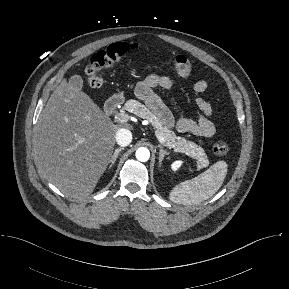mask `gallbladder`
<instances>
[{
    "mask_svg": "<svg viewBox=\"0 0 289 289\" xmlns=\"http://www.w3.org/2000/svg\"><path fill=\"white\" fill-rule=\"evenodd\" d=\"M69 83L77 89H81L83 86V80L79 75H73L69 79Z\"/></svg>",
    "mask_w": 289,
    "mask_h": 289,
    "instance_id": "bac80fb5",
    "label": "gallbladder"
}]
</instances>
